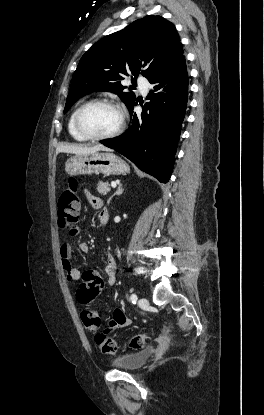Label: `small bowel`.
<instances>
[{
    "mask_svg": "<svg viewBox=\"0 0 264 415\" xmlns=\"http://www.w3.org/2000/svg\"><path fill=\"white\" fill-rule=\"evenodd\" d=\"M87 198L90 204L98 210V222L100 226L107 224L109 220V211L103 206V202L92 196L87 195ZM79 250L82 253L89 252V245L86 242H80L78 244ZM60 258L61 263L65 271L67 272V277L72 283H77L82 280L81 270L72 264V246L69 243H63L60 245ZM105 275H106V284L113 286L116 284L117 275H116V263L114 258L111 255H106L105 257ZM131 324V321L125 316L124 312L120 309H117L113 312L112 319L109 322L108 327L105 329L106 332H110L114 329L125 327Z\"/></svg>",
    "mask_w": 264,
    "mask_h": 415,
    "instance_id": "1",
    "label": "small bowel"
}]
</instances>
